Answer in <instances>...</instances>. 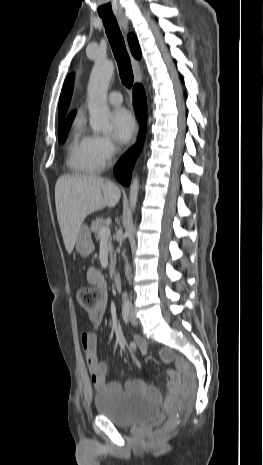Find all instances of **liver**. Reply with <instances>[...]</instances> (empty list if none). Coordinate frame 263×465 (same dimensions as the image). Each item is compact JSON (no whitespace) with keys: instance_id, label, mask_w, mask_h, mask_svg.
Instances as JSON below:
<instances>
[{"instance_id":"1","label":"liver","mask_w":263,"mask_h":465,"mask_svg":"<svg viewBox=\"0 0 263 465\" xmlns=\"http://www.w3.org/2000/svg\"><path fill=\"white\" fill-rule=\"evenodd\" d=\"M119 188L110 180L95 175H63L55 185L57 219L65 248L72 253L85 218L120 200Z\"/></svg>"}]
</instances>
